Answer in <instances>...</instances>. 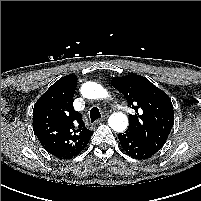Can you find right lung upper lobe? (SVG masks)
Here are the masks:
<instances>
[{
    "instance_id": "1",
    "label": "right lung upper lobe",
    "mask_w": 201,
    "mask_h": 201,
    "mask_svg": "<svg viewBox=\"0 0 201 201\" xmlns=\"http://www.w3.org/2000/svg\"><path fill=\"white\" fill-rule=\"evenodd\" d=\"M76 85L75 75L62 77L37 100L33 109L35 135L48 153L60 159L77 154L93 133L73 108Z\"/></svg>"
}]
</instances>
